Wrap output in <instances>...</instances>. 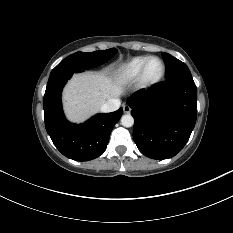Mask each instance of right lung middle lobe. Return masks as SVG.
I'll use <instances>...</instances> for the list:
<instances>
[{"mask_svg":"<svg viewBox=\"0 0 233 233\" xmlns=\"http://www.w3.org/2000/svg\"><path fill=\"white\" fill-rule=\"evenodd\" d=\"M116 53L117 50L114 48L91 53L76 52L62 60L51 73L93 68L105 63Z\"/></svg>","mask_w":233,"mask_h":233,"instance_id":"dd1d6c3e","label":"right lung middle lobe"}]
</instances>
